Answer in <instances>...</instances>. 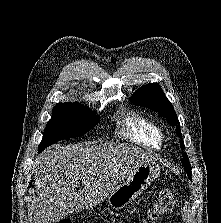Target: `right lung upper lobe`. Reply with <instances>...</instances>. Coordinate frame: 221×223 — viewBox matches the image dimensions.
Here are the masks:
<instances>
[{
  "instance_id": "1",
  "label": "right lung upper lobe",
  "mask_w": 221,
  "mask_h": 223,
  "mask_svg": "<svg viewBox=\"0 0 221 223\" xmlns=\"http://www.w3.org/2000/svg\"><path fill=\"white\" fill-rule=\"evenodd\" d=\"M69 103H71V102H69ZM69 103H58V104H69ZM76 103V102H75Z\"/></svg>"
}]
</instances>
